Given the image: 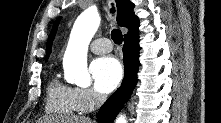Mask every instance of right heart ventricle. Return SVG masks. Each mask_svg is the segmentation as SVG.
<instances>
[{"label": "right heart ventricle", "instance_id": "obj_1", "mask_svg": "<svg viewBox=\"0 0 221 123\" xmlns=\"http://www.w3.org/2000/svg\"><path fill=\"white\" fill-rule=\"evenodd\" d=\"M45 110L57 115H72L78 112L74 100V88L53 77L47 87Z\"/></svg>", "mask_w": 221, "mask_h": 123}]
</instances>
